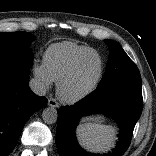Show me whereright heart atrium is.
Masks as SVG:
<instances>
[{"label":"right heart atrium","instance_id":"d8ad5b80","mask_svg":"<svg viewBox=\"0 0 156 156\" xmlns=\"http://www.w3.org/2000/svg\"><path fill=\"white\" fill-rule=\"evenodd\" d=\"M33 74L37 78V80L40 82L42 87H44L46 89L50 88V86L52 84V80L49 77V75L44 67V64L35 63L33 65Z\"/></svg>","mask_w":156,"mask_h":156}]
</instances>
